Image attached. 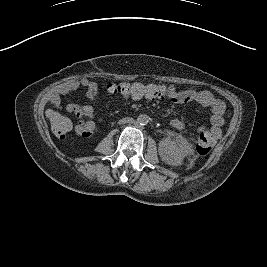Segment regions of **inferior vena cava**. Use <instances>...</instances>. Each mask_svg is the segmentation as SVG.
I'll return each mask as SVG.
<instances>
[{"instance_id":"obj_1","label":"inferior vena cava","mask_w":267,"mask_h":267,"mask_svg":"<svg viewBox=\"0 0 267 267\" xmlns=\"http://www.w3.org/2000/svg\"><path fill=\"white\" fill-rule=\"evenodd\" d=\"M131 122H133V119L127 117V118L121 119L118 123L119 124H126V123H131Z\"/></svg>"}]
</instances>
